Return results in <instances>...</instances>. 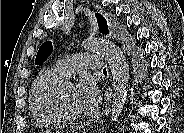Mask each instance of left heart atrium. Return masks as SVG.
<instances>
[{
	"instance_id": "left-heart-atrium-1",
	"label": "left heart atrium",
	"mask_w": 184,
	"mask_h": 133,
	"mask_svg": "<svg viewBox=\"0 0 184 133\" xmlns=\"http://www.w3.org/2000/svg\"><path fill=\"white\" fill-rule=\"evenodd\" d=\"M75 100L83 112H92L100 104V92L96 84L88 78L82 79L75 87Z\"/></svg>"
}]
</instances>
